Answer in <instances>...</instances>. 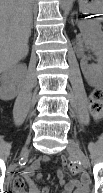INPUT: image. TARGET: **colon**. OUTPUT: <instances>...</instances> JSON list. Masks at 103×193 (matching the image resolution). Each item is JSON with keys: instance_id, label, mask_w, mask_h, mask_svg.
Instances as JSON below:
<instances>
[{"instance_id": "1", "label": "colon", "mask_w": 103, "mask_h": 193, "mask_svg": "<svg viewBox=\"0 0 103 193\" xmlns=\"http://www.w3.org/2000/svg\"><path fill=\"white\" fill-rule=\"evenodd\" d=\"M89 110L92 117L96 120H100L103 115V89L96 88L92 90L89 95ZM69 171L72 174H78L81 171V167L76 162H70L68 164Z\"/></svg>"}]
</instances>
